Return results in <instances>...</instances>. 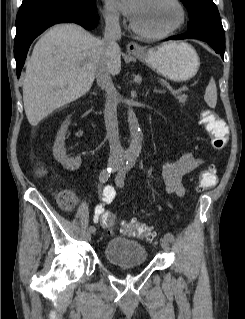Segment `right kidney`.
Returning <instances> with one entry per match:
<instances>
[{"mask_svg":"<svg viewBox=\"0 0 245 319\" xmlns=\"http://www.w3.org/2000/svg\"><path fill=\"white\" fill-rule=\"evenodd\" d=\"M70 124L69 120H66L60 130L57 133L56 141L53 146V156L54 158L60 162L64 168L67 170L75 171L77 170L81 165V158H69L66 155V148H65V135L68 128V125Z\"/></svg>","mask_w":245,"mask_h":319,"instance_id":"1","label":"right kidney"}]
</instances>
